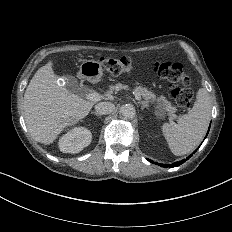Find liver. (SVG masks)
Listing matches in <instances>:
<instances>
[{"mask_svg": "<svg viewBox=\"0 0 232 232\" xmlns=\"http://www.w3.org/2000/svg\"><path fill=\"white\" fill-rule=\"evenodd\" d=\"M58 79L50 58L35 72L24 93L27 128L43 145L52 144L68 127L85 118L95 104L70 93Z\"/></svg>", "mask_w": 232, "mask_h": 232, "instance_id": "obj_1", "label": "liver"}]
</instances>
